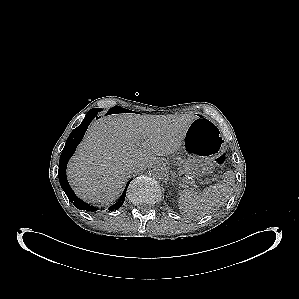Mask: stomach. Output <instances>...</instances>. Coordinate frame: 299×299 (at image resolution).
<instances>
[{"label":"stomach","mask_w":299,"mask_h":299,"mask_svg":"<svg viewBox=\"0 0 299 299\" xmlns=\"http://www.w3.org/2000/svg\"><path fill=\"white\" fill-rule=\"evenodd\" d=\"M224 146L217 124L207 117L197 116L185 133L183 148L188 159L181 163L180 170L197 178L208 174L211 161L224 151Z\"/></svg>","instance_id":"0dacf381"}]
</instances>
